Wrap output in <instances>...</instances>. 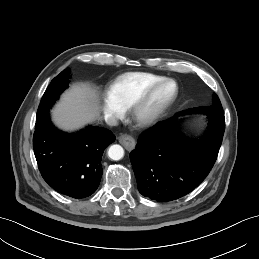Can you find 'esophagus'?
<instances>
[{
    "mask_svg": "<svg viewBox=\"0 0 259 259\" xmlns=\"http://www.w3.org/2000/svg\"><path fill=\"white\" fill-rule=\"evenodd\" d=\"M118 141L122 144L128 151L132 150L135 147V139L128 135L122 134L118 137Z\"/></svg>",
    "mask_w": 259,
    "mask_h": 259,
    "instance_id": "esophagus-1",
    "label": "esophagus"
}]
</instances>
